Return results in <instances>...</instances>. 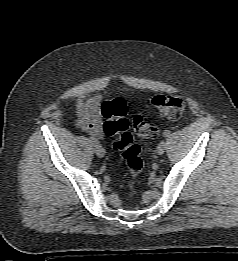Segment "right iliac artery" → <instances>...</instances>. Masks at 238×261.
I'll return each mask as SVG.
<instances>
[{"instance_id":"1","label":"right iliac artery","mask_w":238,"mask_h":261,"mask_svg":"<svg viewBox=\"0 0 238 261\" xmlns=\"http://www.w3.org/2000/svg\"><path fill=\"white\" fill-rule=\"evenodd\" d=\"M90 141L92 142V144L97 145L99 144L98 140L96 138H94L93 136L90 135Z\"/></svg>"}]
</instances>
